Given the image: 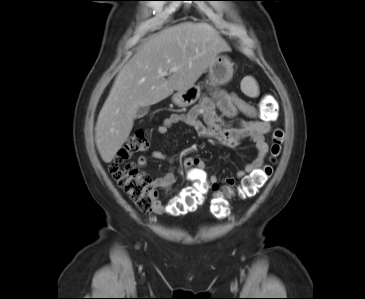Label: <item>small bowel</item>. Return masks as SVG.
Returning a JSON list of instances; mask_svg holds the SVG:
<instances>
[{"label": "small bowel", "mask_w": 365, "mask_h": 299, "mask_svg": "<svg viewBox=\"0 0 365 299\" xmlns=\"http://www.w3.org/2000/svg\"><path fill=\"white\" fill-rule=\"evenodd\" d=\"M217 109L221 113H218ZM238 113L248 117L234 125L227 124L223 118L234 119ZM179 123L189 125L196 134L202 138L216 139L228 147L235 148L244 139H250L256 148V156L248 162L242 169H239L235 176L227 177L225 182L228 185L234 184L236 180L251 174L261 168L263 160L268 152V144L265 135L270 130V123L267 119L257 116L254 108L246 101L234 94H227L216 90L211 96H204L198 104L193 106L186 113H173L166 117L163 123L157 128L159 135H165L168 131ZM153 159L162 160L166 155L159 150L151 152ZM148 158L140 156L138 164L146 166ZM183 167L192 180L204 182L216 187L219 178L214 174H208L205 170V162L200 157H187L183 161ZM176 176L172 171L163 176L153 179L152 185L155 189L168 190L175 182ZM157 197V192L155 190ZM169 208V205H168ZM167 208L158 200L154 206L155 213H163Z\"/></svg>", "instance_id": "1"}]
</instances>
